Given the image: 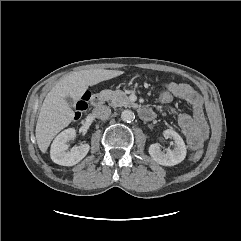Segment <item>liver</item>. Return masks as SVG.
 <instances>
[{"mask_svg":"<svg viewBox=\"0 0 241 241\" xmlns=\"http://www.w3.org/2000/svg\"><path fill=\"white\" fill-rule=\"evenodd\" d=\"M120 70L90 69L62 77L46 95L36 124V140L45 153L53 138L73 120L74 112L66 102L70 96L78 100L89 86L123 74Z\"/></svg>","mask_w":241,"mask_h":241,"instance_id":"1","label":"liver"}]
</instances>
